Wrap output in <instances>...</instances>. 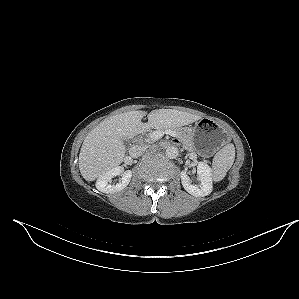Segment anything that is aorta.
<instances>
[{"label": "aorta", "instance_id": "762f6f07", "mask_svg": "<svg viewBox=\"0 0 299 299\" xmlns=\"http://www.w3.org/2000/svg\"><path fill=\"white\" fill-rule=\"evenodd\" d=\"M165 153L168 158L175 159L179 154V150L175 146H169L167 147Z\"/></svg>", "mask_w": 299, "mask_h": 299}]
</instances>
